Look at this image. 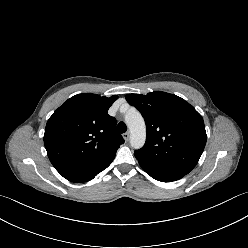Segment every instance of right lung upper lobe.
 I'll return each instance as SVG.
<instances>
[{"label":"right lung upper lobe","mask_w":248,"mask_h":248,"mask_svg":"<svg viewBox=\"0 0 248 248\" xmlns=\"http://www.w3.org/2000/svg\"><path fill=\"white\" fill-rule=\"evenodd\" d=\"M117 98L78 94L52 114L44 144L55 168L86 167L116 154L124 139L116 131V120L108 115V109Z\"/></svg>","instance_id":"cb5924a9"}]
</instances>
